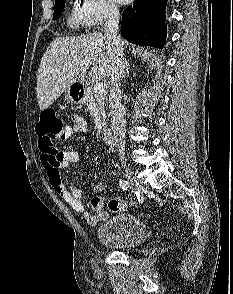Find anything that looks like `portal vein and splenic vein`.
I'll list each match as a JSON object with an SVG mask.
<instances>
[{
	"label": "portal vein and splenic vein",
	"mask_w": 233,
	"mask_h": 294,
	"mask_svg": "<svg viewBox=\"0 0 233 294\" xmlns=\"http://www.w3.org/2000/svg\"><path fill=\"white\" fill-rule=\"evenodd\" d=\"M96 94H101L105 91V85L102 82H96L93 88Z\"/></svg>",
	"instance_id": "obj_1"
}]
</instances>
